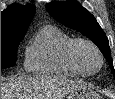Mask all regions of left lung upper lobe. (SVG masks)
Listing matches in <instances>:
<instances>
[{
	"instance_id": "obj_1",
	"label": "left lung upper lobe",
	"mask_w": 115,
	"mask_h": 99,
	"mask_svg": "<svg viewBox=\"0 0 115 99\" xmlns=\"http://www.w3.org/2000/svg\"><path fill=\"white\" fill-rule=\"evenodd\" d=\"M46 9L60 23L90 38L108 60V64L115 76L108 39L91 13L83 8L76 0L50 2L46 4Z\"/></svg>"
}]
</instances>
